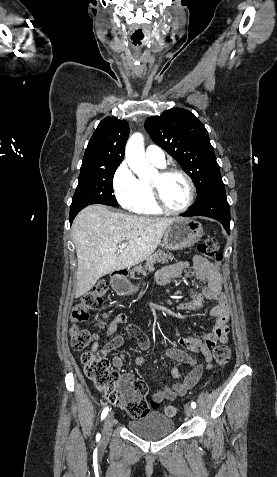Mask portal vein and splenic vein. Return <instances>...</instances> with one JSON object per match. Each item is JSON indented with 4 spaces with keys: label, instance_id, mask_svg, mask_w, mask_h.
<instances>
[{
    "label": "portal vein and splenic vein",
    "instance_id": "18ae733b",
    "mask_svg": "<svg viewBox=\"0 0 277 477\" xmlns=\"http://www.w3.org/2000/svg\"><path fill=\"white\" fill-rule=\"evenodd\" d=\"M126 246H127V244H126V243H122V244H121V245H119L118 247H119L120 249H124Z\"/></svg>",
    "mask_w": 277,
    "mask_h": 477
}]
</instances>
